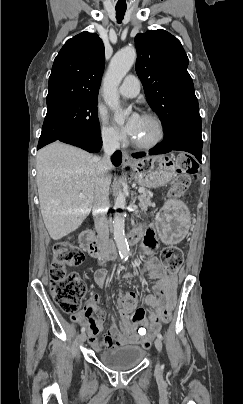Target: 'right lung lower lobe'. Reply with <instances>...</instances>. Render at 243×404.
<instances>
[{"label": "right lung lower lobe", "instance_id": "right-lung-lower-lobe-1", "mask_svg": "<svg viewBox=\"0 0 243 404\" xmlns=\"http://www.w3.org/2000/svg\"><path fill=\"white\" fill-rule=\"evenodd\" d=\"M59 141L80 147L88 152H98L102 147L101 134H88L79 131H68L58 137ZM115 166L120 165L122 161V154L116 151L112 158Z\"/></svg>", "mask_w": 243, "mask_h": 404}]
</instances>
